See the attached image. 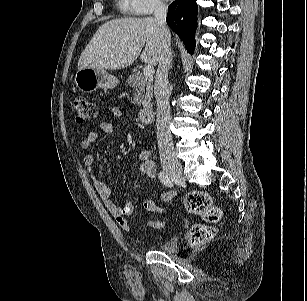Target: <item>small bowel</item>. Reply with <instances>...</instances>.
I'll return each mask as SVG.
<instances>
[{"label":"small bowel","instance_id":"obj_1","mask_svg":"<svg viewBox=\"0 0 307 301\" xmlns=\"http://www.w3.org/2000/svg\"><path fill=\"white\" fill-rule=\"evenodd\" d=\"M113 113L115 116H123V112L119 109H114ZM113 132V124L109 121H101L98 124L97 131H89L85 138L81 141V148L86 152L84 155V164L87 170L89 177L92 180V183L101 196L107 210L113 215L119 227L126 232H132V227L127 219L128 216H131L135 212V206L132 202H126L123 206L117 204L111 198V189L110 187L100 178L98 173L94 168V158L90 153L95 141L97 138L102 136L110 135ZM139 159L141 161L140 171L151 178H155L156 168L151 159V153L149 150H144L139 154ZM160 198L164 202H170L175 198V193L172 190H164ZM143 206L145 210L151 214L163 215L167 211L161 208H158L155 202L148 198L144 200Z\"/></svg>","mask_w":307,"mask_h":301}]
</instances>
